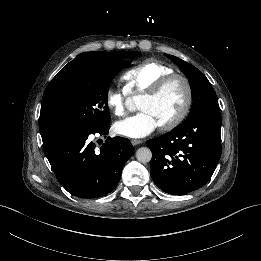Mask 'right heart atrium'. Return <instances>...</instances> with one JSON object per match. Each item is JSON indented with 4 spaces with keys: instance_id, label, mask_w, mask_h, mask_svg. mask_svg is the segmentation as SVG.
I'll return each mask as SVG.
<instances>
[{
    "instance_id": "right-heart-atrium-1",
    "label": "right heart atrium",
    "mask_w": 261,
    "mask_h": 261,
    "mask_svg": "<svg viewBox=\"0 0 261 261\" xmlns=\"http://www.w3.org/2000/svg\"><path fill=\"white\" fill-rule=\"evenodd\" d=\"M107 107L120 118H125L129 112V99L124 90L109 89L106 93Z\"/></svg>"
}]
</instances>
